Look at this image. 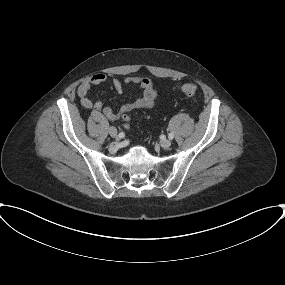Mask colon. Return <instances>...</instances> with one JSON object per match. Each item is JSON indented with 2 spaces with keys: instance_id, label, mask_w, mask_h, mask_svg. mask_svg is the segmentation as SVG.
<instances>
[{
  "instance_id": "obj_1",
  "label": "colon",
  "mask_w": 285,
  "mask_h": 285,
  "mask_svg": "<svg viewBox=\"0 0 285 285\" xmlns=\"http://www.w3.org/2000/svg\"><path fill=\"white\" fill-rule=\"evenodd\" d=\"M180 90L187 96L196 98L197 97V88L192 83H185L180 85ZM123 120L125 122V126L128 127L130 124V118L127 115L123 116Z\"/></svg>"
}]
</instances>
